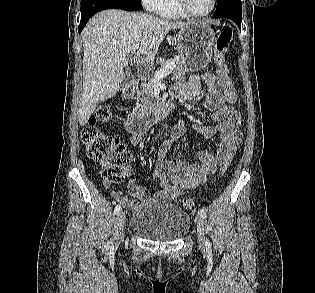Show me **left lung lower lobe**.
<instances>
[{
  "label": "left lung lower lobe",
  "instance_id": "left-lung-lower-lobe-1",
  "mask_svg": "<svg viewBox=\"0 0 315 293\" xmlns=\"http://www.w3.org/2000/svg\"><path fill=\"white\" fill-rule=\"evenodd\" d=\"M225 18H229L231 20H233L237 25L238 27L241 29V20H242V16L241 17H237V16H227Z\"/></svg>",
  "mask_w": 315,
  "mask_h": 293
}]
</instances>
